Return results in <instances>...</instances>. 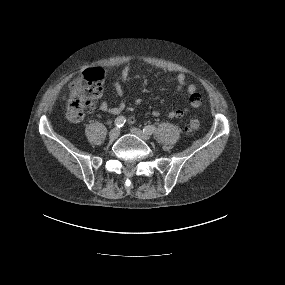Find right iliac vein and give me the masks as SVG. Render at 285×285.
Listing matches in <instances>:
<instances>
[{
    "label": "right iliac vein",
    "instance_id": "obj_1",
    "mask_svg": "<svg viewBox=\"0 0 285 285\" xmlns=\"http://www.w3.org/2000/svg\"><path fill=\"white\" fill-rule=\"evenodd\" d=\"M119 135H120V129L119 128H113L111 131H110V133H109V138L111 139V140H115V139H117L118 137H119Z\"/></svg>",
    "mask_w": 285,
    "mask_h": 285
}]
</instances>
